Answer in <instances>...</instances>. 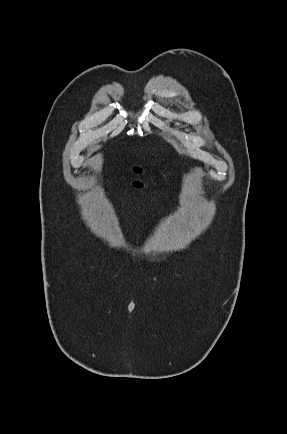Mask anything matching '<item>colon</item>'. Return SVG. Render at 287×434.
Listing matches in <instances>:
<instances>
[{"label":"colon","mask_w":287,"mask_h":434,"mask_svg":"<svg viewBox=\"0 0 287 434\" xmlns=\"http://www.w3.org/2000/svg\"><path fill=\"white\" fill-rule=\"evenodd\" d=\"M136 186L141 187L142 184L140 182L135 183Z\"/></svg>","instance_id":"obj_1"}]
</instances>
